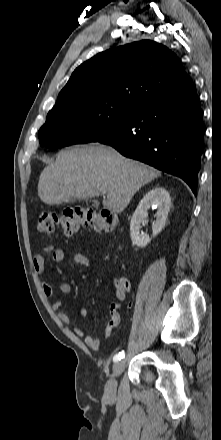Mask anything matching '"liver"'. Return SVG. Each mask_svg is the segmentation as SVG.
Segmentation results:
<instances>
[{
  "label": "liver",
  "mask_w": 221,
  "mask_h": 440,
  "mask_svg": "<svg viewBox=\"0 0 221 440\" xmlns=\"http://www.w3.org/2000/svg\"><path fill=\"white\" fill-rule=\"evenodd\" d=\"M160 175L157 169L127 159L111 147L78 146L60 151L55 162L44 168L38 196L45 204L59 205L105 191L104 208L121 213L143 185Z\"/></svg>",
  "instance_id": "liver-1"
}]
</instances>
